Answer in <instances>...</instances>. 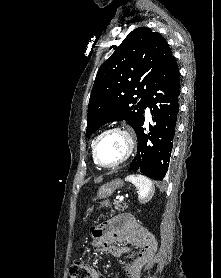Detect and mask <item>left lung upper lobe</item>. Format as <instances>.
Segmentation results:
<instances>
[{
	"label": "left lung upper lobe",
	"instance_id": "left-lung-upper-lobe-1",
	"mask_svg": "<svg viewBox=\"0 0 221 278\" xmlns=\"http://www.w3.org/2000/svg\"><path fill=\"white\" fill-rule=\"evenodd\" d=\"M172 57L159 33L146 27L130 32L98 70L89 100L87 137L105 123L118 120H125L136 131L146 96Z\"/></svg>",
	"mask_w": 221,
	"mask_h": 278
}]
</instances>
